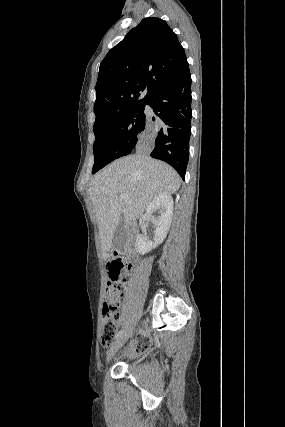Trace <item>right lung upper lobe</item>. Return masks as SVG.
<instances>
[{
  "instance_id": "right-lung-upper-lobe-1",
  "label": "right lung upper lobe",
  "mask_w": 285,
  "mask_h": 427,
  "mask_svg": "<svg viewBox=\"0 0 285 427\" xmlns=\"http://www.w3.org/2000/svg\"><path fill=\"white\" fill-rule=\"evenodd\" d=\"M188 72L177 35L164 20L144 18L100 64L94 126L125 108L148 102ZM143 91L146 95L138 100Z\"/></svg>"
}]
</instances>
